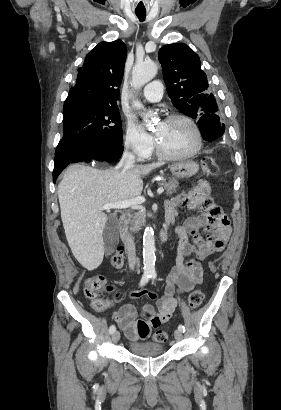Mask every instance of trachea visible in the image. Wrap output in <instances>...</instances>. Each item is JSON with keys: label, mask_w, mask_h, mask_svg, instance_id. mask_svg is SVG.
<instances>
[{"label": "trachea", "mask_w": 281, "mask_h": 410, "mask_svg": "<svg viewBox=\"0 0 281 410\" xmlns=\"http://www.w3.org/2000/svg\"><path fill=\"white\" fill-rule=\"evenodd\" d=\"M135 14L140 19V21H143L146 17V12H136Z\"/></svg>", "instance_id": "3493384b"}]
</instances>
